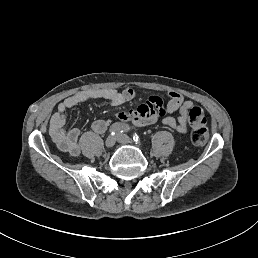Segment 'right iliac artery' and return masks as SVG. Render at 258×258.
<instances>
[{
	"mask_svg": "<svg viewBox=\"0 0 258 258\" xmlns=\"http://www.w3.org/2000/svg\"><path fill=\"white\" fill-rule=\"evenodd\" d=\"M130 130V126L124 123H114L111 127H110V133L111 135H118L120 133L126 132Z\"/></svg>",
	"mask_w": 258,
	"mask_h": 258,
	"instance_id": "82829eb1",
	"label": "right iliac artery"
}]
</instances>
